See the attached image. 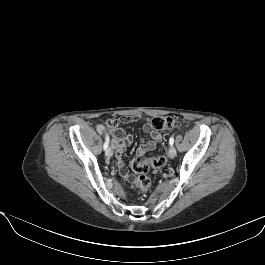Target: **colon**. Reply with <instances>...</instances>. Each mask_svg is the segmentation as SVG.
<instances>
[{
	"instance_id": "obj_1",
	"label": "colon",
	"mask_w": 265,
	"mask_h": 265,
	"mask_svg": "<svg viewBox=\"0 0 265 265\" xmlns=\"http://www.w3.org/2000/svg\"><path fill=\"white\" fill-rule=\"evenodd\" d=\"M111 124V120H108ZM152 128L156 130H177L181 127L180 121L175 117L161 116L155 117L151 121ZM167 162L165 155L153 156L150 158H134L130 166L133 171L138 175L135 179V185L141 191H147L151 187V179L147 176L150 169H161Z\"/></svg>"
}]
</instances>
